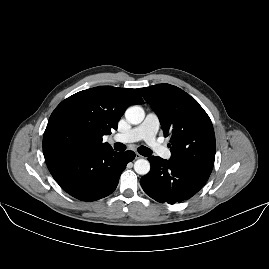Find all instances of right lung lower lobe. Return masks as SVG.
I'll return each instance as SVG.
<instances>
[{"label":"right lung lower lobe","instance_id":"1","mask_svg":"<svg viewBox=\"0 0 269 269\" xmlns=\"http://www.w3.org/2000/svg\"><path fill=\"white\" fill-rule=\"evenodd\" d=\"M133 151L119 153L112 148H91L69 155L46 159L56 182L71 196L82 201H94L111 194Z\"/></svg>","mask_w":269,"mask_h":269}]
</instances>
